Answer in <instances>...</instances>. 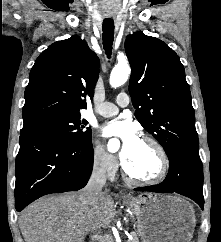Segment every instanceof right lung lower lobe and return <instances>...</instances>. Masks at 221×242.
Listing matches in <instances>:
<instances>
[{"instance_id":"98d812e1","label":"right lung lower lobe","mask_w":221,"mask_h":242,"mask_svg":"<svg viewBox=\"0 0 221 242\" xmlns=\"http://www.w3.org/2000/svg\"><path fill=\"white\" fill-rule=\"evenodd\" d=\"M91 139L73 142L55 134L20 135L16 157L15 208L39 197L83 188L93 168Z\"/></svg>"}]
</instances>
